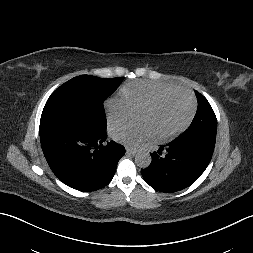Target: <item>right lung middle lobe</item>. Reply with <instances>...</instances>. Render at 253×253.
<instances>
[{
    "label": "right lung middle lobe",
    "mask_w": 253,
    "mask_h": 253,
    "mask_svg": "<svg viewBox=\"0 0 253 253\" xmlns=\"http://www.w3.org/2000/svg\"><path fill=\"white\" fill-rule=\"evenodd\" d=\"M123 81L118 78H99L81 75L56 89L41 115V121L61 120L81 125L93 131H106L103 102Z\"/></svg>",
    "instance_id": "1"
}]
</instances>
